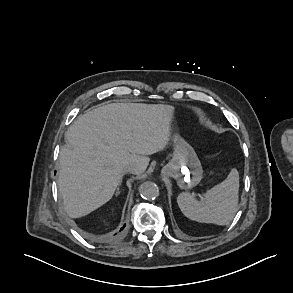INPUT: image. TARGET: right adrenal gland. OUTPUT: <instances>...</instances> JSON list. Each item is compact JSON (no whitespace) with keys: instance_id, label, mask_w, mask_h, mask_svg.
Segmentation results:
<instances>
[{"instance_id":"2a0ac1e0","label":"right adrenal gland","mask_w":293,"mask_h":293,"mask_svg":"<svg viewBox=\"0 0 293 293\" xmlns=\"http://www.w3.org/2000/svg\"><path fill=\"white\" fill-rule=\"evenodd\" d=\"M120 184H121V182H120ZM120 184H119V185H120ZM119 193H120L119 188H117L116 195H118Z\"/></svg>"}]
</instances>
